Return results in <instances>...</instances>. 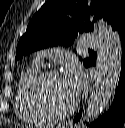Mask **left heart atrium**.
<instances>
[{
  "instance_id": "obj_1",
  "label": "left heart atrium",
  "mask_w": 125,
  "mask_h": 128,
  "mask_svg": "<svg viewBox=\"0 0 125 128\" xmlns=\"http://www.w3.org/2000/svg\"><path fill=\"white\" fill-rule=\"evenodd\" d=\"M62 77L69 92L76 98L84 85L83 75L80 68L76 65H71L65 70Z\"/></svg>"
}]
</instances>
